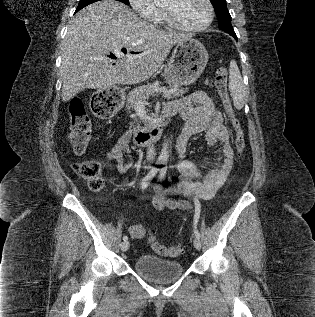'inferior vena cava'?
<instances>
[{"label":"inferior vena cava","instance_id":"602c4592","mask_svg":"<svg viewBox=\"0 0 315 317\" xmlns=\"http://www.w3.org/2000/svg\"><path fill=\"white\" fill-rule=\"evenodd\" d=\"M155 157V147L153 143H149L147 146V160L153 161Z\"/></svg>","mask_w":315,"mask_h":317}]
</instances>
